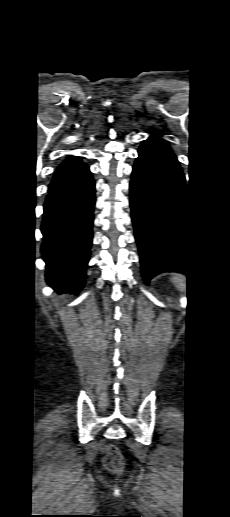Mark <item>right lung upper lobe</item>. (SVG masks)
Wrapping results in <instances>:
<instances>
[{
  "label": "right lung upper lobe",
  "instance_id": "cb5924a9",
  "mask_svg": "<svg viewBox=\"0 0 230 517\" xmlns=\"http://www.w3.org/2000/svg\"><path fill=\"white\" fill-rule=\"evenodd\" d=\"M80 164H82V162L78 157H70L59 166V168L55 172V176L62 174L70 169H73Z\"/></svg>",
  "mask_w": 230,
  "mask_h": 517
}]
</instances>
